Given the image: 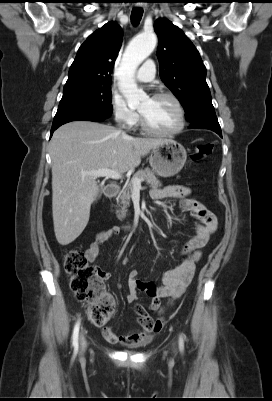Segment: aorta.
Here are the masks:
<instances>
[{"label": "aorta", "mask_w": 272, "mask_h": 401, "mask_svg": "<svg viewBox=\"0 0 272 401\" xmlns=\"http://www.w3.org/2000/svg\"><path fill=\"white\" fill-rule=\"evenodd\" d=\"M156 43L155 34H141L136 36L125 50L119 68V90L129 107H135L147 98L146 93L138 88L134 74L138 66L153 52Z\"/></svg>", "instance_id": "obj_1"}]
</instances>
